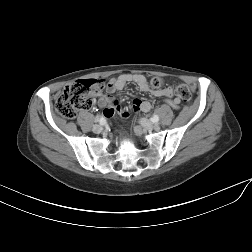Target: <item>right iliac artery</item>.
<instances>
[{"instance_id": "obj_1", "label": "right iliac artery", "mask_w": 252, "mask_h": 252, "mask_svg": "<svg viewBox=\"0 0 252 252\" xmlns=\"http://www.w3.org/2000/svg\"><path fill=\"white\" fill-rule=\"evenodd\" d=\"M101 126H105L106 125V121H105V119L102 117V119H101Z\"/></svg>"}]
</instances>
